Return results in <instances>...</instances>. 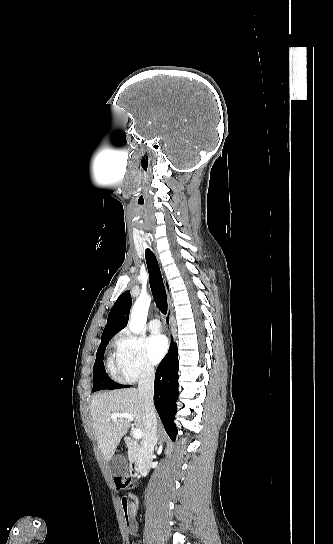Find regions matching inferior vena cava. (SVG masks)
<instances>
[{
  "instance_id": "1",
  "label": "inferior vena cava",
  "mask_w": 333,
  "mask_h": 544,
  "mask_svg": "<svg viewBox=\"0 0 333 544\" xmlns=\"http://www.w3.org/2000/svg\"><path fill=\"white\" fill-rule=\"evenodd\" d=\"M155 371L152 367L143 368L138 382L139 395L144 399L145 431L139 455V471L146 476L150 470L152 453L157 442V419L153 405Z\"/></svg>"
}]
</instances>
